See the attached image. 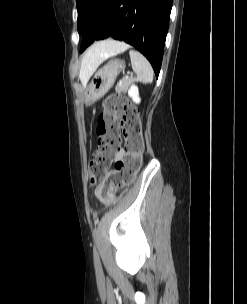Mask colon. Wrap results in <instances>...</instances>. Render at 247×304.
Wrapping results in <instances>:
<instances>
[{
	"instance_id": "1",
	"label": "colon",
	"mask_w": 247,
	"mask_h": 304,
	"mask_svg": "<svg viewBox=\"0 0 247 304\" xmlns=\"http://www.w3.org/2000/svg\"><path fill=\"white\" fill-rule=\"evenodd\" d=\"M97 134L98 147L89 164V177L91 184L101 182L97 185V195L110 203L119 189L134 181L142 163L144 142L135 106L121 94L108 96L98 119ZM121 135L125 139V153L111 170L120 148Z\"/></svg>"
}]
</instances>
